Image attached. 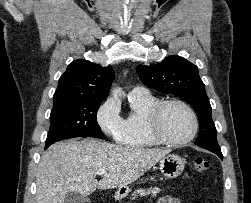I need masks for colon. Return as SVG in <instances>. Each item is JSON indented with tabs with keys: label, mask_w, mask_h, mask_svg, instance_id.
<instances>
[{
	"label": "colon",
	"mask_w": 251,
	"mask_h": 203,
	"mask_svg": "<svg viewBox=\"0 0 251 203\" xmlns=\"http://www.w3.org/2000/svg\"><path fill=\"white\" fill-rule=\"evenodd\" d=\"M194 168L198 173L205 172L209 168V162L203 157H196L194 160Z\"/></svg>",
	"instance_id": "colon-1"
}]
</instances>
